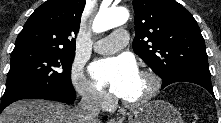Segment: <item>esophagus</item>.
<instances>
[{
    "label": "esophagus",
    "instance_id": "1",
    "mask_svg": "<svg viewBox=\"0 0 221 123\" xmlns=\"http://www.w3.org/2000/svg\"><path fill=\"white\" fill-rule=\"evenodd\" d=\"M119 121L116 120L115 118L110 119V123H118Z\"/></svg>",
    "mask_w": 221,
    "mask_h": 123
}]
</instances>
